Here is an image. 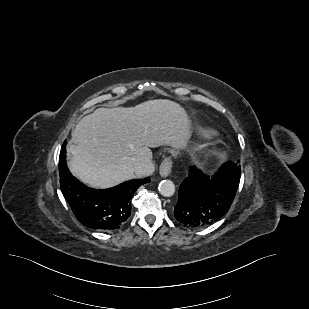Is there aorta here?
Returning a JSON list of instances; mask_svg holds the SVG:
<instances>
[{
  "label": "aorta",
  "mask_w": 309,
  "mask_h": 309,
  "mask_svg": "<svg viewBox=\"0 0 309 309\" xmlns=\"http://www.w3.org/2000/svg\"><path fill=\"white\" fill-rule=\"evenodd\" d=\"M159 193L164 197H171L175 193V185L171 180H163L158 186Z\"/></svg>",
  "instance_id": "762f6f07"
}]
</instances>
